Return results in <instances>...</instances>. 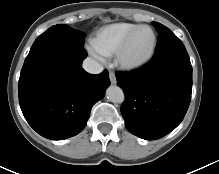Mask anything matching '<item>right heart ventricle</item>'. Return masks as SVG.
Instances as JSON below:
<instances>
[{
	"label": "right heart ventricle",
	"instance_id": "obj_1",
	"mask_svg": "<svg viewBox=\"0 0 219 174\" xmlns=\"http://www.w3.org/2000/svg\"><path fill=\"white\" fill-rule=\"evenodd\" d=\"M138 26V24L128 22L103 26L92 38V46L102 55H114L127 35Z\"/></svg>",
	"mask_w": 219,
	"mask_h": 174
}]
</instances>
